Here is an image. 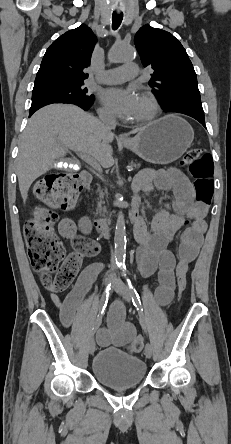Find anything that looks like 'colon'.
<instances>
[{
    "label": "colon",
    "mask_w": 231,
    "mask_h": 444,
    "mask_svg": "<svg viewBox=\"0 0 231 444\" xmlns=\"http://www.w3.org/2000/svg\"><path fill=\"white\" fill-rule=\"evenodd\" d=\"M181 164L187 168L194 180L196 199L208 205L213 195V162L208 153L201 148L188 150ZM83 182L78 175L59 173L47 175L39 181L34 193L47 208L37 210L35 216L24 226V238L33 269L42 283L51 291L61 292L74 280L80 264L81 255L73 252L65 257L62 242L54 231L57 210L73 207ZM63 261L61 266L59 264ZM187 287L186 274L178 275V295ZM132 351L142 349V341L137 339L130 345Z\"/></svg>",
    "instance_id": "5ec220e1"
}]
</instances>
